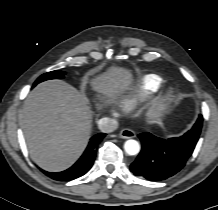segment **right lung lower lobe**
Wrapping results in <instances>:
<instances>
[{
  "label": "right lung lower lobe",
  "instance_id": "obj_1",
  "mask_svg": "<svg viewBox=\"0 0 218 210\" xmlns=\"http://www.w3.org/2000/svg\"><path fill=\"white\" fill-rule=\"evenodd\" d=\"M105 135L106 134L104 133H99L93 136L90 139V142L83 155L69 169L62 172H47L44 170L41 171L44 172L47 176L51 177L52 179L58 181H69L83 176L92 167L96 156L97 146L99 145L101 140L105 137Z\"/></svg>",
  "mask_w": 218,
  "mask_h": 210
}]
</instances>
